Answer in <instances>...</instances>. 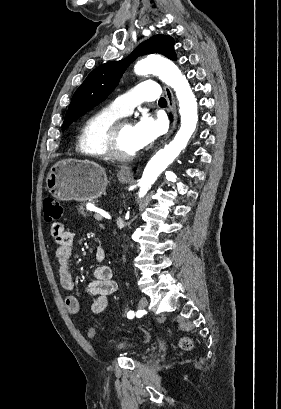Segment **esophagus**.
<instances>
[{"label":"esophagus","mask_w":281,"mask_h":409,"mask_svg":"<svg viewBox=\"0 0 281 409\" xmlns=\"http://www.w3.org/2000/svg\"><path fill=\"white\" fill-rule=\"evenodd\" d=\"M164 91H165V94H166V97H167V100H168L169 111L173 115V123H172V126H171L170 131H169V135H171L172 132L174 131L175 127H176V122H177L176 103H175V99H174V95L172 93V90L169 87L164 86ZM124 171L127 172V173L130 172V167H126L124 169Z\"/></svg>","instance_id":"obj_1"}]
</instances>
